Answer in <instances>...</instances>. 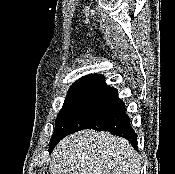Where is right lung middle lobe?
<instances>
[{"instance_id": "1", "label": "right lung middle lobe", "mask_w": 175, "mask_h": 174, "mask_svg": "<svg viewBox=\"0 0 175 174\" xmlns=\"http://www.w3.org/2000/svg\"><path fill=\"white\" fill-rule=\"evenodd\" d=\"M88 95L89 94H69L66 97L63 107L56 118L55 130L50 141V146L61 139L72 118L85 102Z\"/></svg>"}]
</instances>
